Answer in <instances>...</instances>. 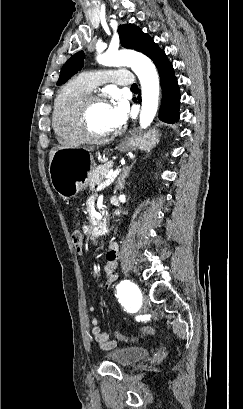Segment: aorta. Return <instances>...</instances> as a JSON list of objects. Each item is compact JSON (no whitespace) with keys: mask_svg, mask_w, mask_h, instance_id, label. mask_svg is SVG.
Returning <instances> with one entry per match:
<instances>
[{"mask_svg":"<svg viewBox=\"0 0 243 409\" xmlns=\"http://www.w3.org/2000/svg\"><path fill=\"white\" fill-rule=\"evenodd\" d=\"M104 66H128L140 80L142 89V109L140 126L147 128L155 118L159 101V78L152 61L145 55L132 51H107L97 57ZM116 214H120L116 211Z\"/></svg>","mask_w":243,"mask_h":409,"instance_id":"obj_1","label":"aorta"}]
</instances>
